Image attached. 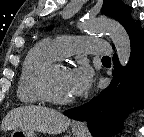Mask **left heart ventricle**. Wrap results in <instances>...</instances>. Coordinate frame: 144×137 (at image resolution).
Returning a JSON list of instances; mask_svg holds the SVG:
<instances>
[{
  "label": "left heart ventricle",
  "mask_w": 144,
  "mask_h": 137,
  "mask_svg": "<svg viewBox=\"0 0 144 137\" xmlns=\"http://www.w3.org/2000/svg\"><path fill=\"white\" fill-rule=\"evenodd\" d=\"M70 69L60 67L52 75L51 88L53 93L59 98H70L72 94L69 89Z\"/></svg>",
  "instance_id": "left-heart-ventricle-1"
}]
</instances>
